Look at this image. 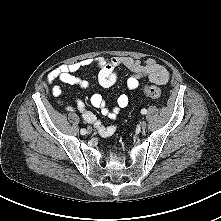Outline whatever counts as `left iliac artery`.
I'll list each match as a JSON object with an SVG mask.
<instances>
[{
	"mask_svg": "<svg viewBox=\"0 0 221 221\" xmlns=\"http://www.w3.org/2000/svg\"><path fill=\"white\" fill-rule=\"evenodd\" d=\"M141 113H142V114H146V113H147V110H146V109H142V110H141Z\"/></svg>",
	"mask_w": 221,
	"mask_h": 221,
	"instance_id": "obj_1",
	"label": "left iliac artery"
}]
</instances>
